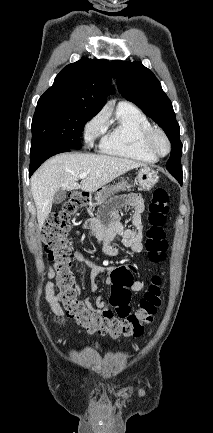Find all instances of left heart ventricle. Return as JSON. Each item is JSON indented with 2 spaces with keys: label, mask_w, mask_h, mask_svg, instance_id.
Here are the masks:
<instances>
[{
  "label": "left heart ventricle",
  "mask_w": 213,
  "mask_h": 433,
  "mask_svg": "<svg viewBox=\"0 0 213 433\" xmlns=\"http://www.w3.org/2000/svg\"><path fill=\"white\" fill-rule=\"evenodd\" d=\"M156 143H157V146H158V148L162 151V152H164L165 150H166V143H165V141L161 138V137H158L157 138V140H156Z\"/></svg>",
  "instance_id": "b2bd125f"
}]
</instances>
